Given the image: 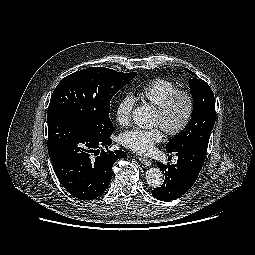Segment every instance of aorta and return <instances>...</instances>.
Segmentation results:
<instances>
[{
  "label": "aorta",
  "instance_id": "1",
  "mask_svg": "<svg viewBox=\"0 0 255 255\" xmlns=\"http://www.w3.org/2000/svg\"><path fill=\"white\" fill-rule=\"evenodd\" d=\"M132 117L135 124L140 128H151L153 125L154 111L149 105L139 106L133 111ZM146 180L150 186L158 188L164 183V175L160 169L150 168L146 172Z\"/></svg>",
  "mask_w": 255,
  "mask_h": 255
}]
</instances>
